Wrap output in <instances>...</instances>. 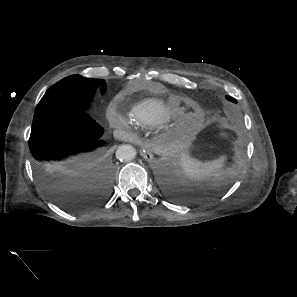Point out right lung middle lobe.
<instances>
[{
	"label": "right lung middle lobe",
	"instance_id": "obj_1",
	"mask_svg": "<svg viewBox=\"0 0 297 297\" xmlns=\"http://www.w3.org/2000/svg\"><path fill=\"white\" fill-rule=\"evenodd\" d=\"M101 87L105 92L106 83L102 79L72 75L53 85L38 103L33 125L39 124L60 112L78 111L87 113L95 90Z\"/></svg>",
	"mask_w": 297,
	"mask_h": 297
}]
</instances>
